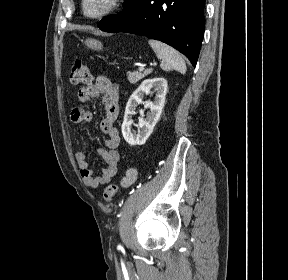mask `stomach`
Instances as JSON below:
<instances>
[{
  "label": "stomach",
  "instance_id": "obj_1",
  "mask_svg": "<svg viewBox=\"0 0 288 280\" xmlns=\"http://www.w3.org/2000/svg\"><path fill=\"white\" fill-rule=\"evenodd\" d=\"M86 45L88 48L92 49V50H101L103 45L100 41L96 40V39H92L89 38L86 40Z\"/></svg>",
  "mask_w": 288,
  "mask_h": 280
}]
</instances>
